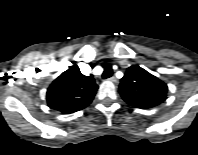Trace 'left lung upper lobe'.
<instances>
[{
  "label": "left lung upper lobe",
  "instance_id": "left-lung-upper-lobe-1",
  "mask_svg": "<svg viewBox=\"0 0 198 155\" xmlns=\"http://www.w3.org/2000/svg\"><path fill=\"white\" fill-rule=\"evenodd\" d=\"M167 85L143 68L133 65L121 79L122 98L136 108H150L166 99Z\"/></svg>",
  "mask_w": 198,
  "mask_h": 155
}]
</instances>
